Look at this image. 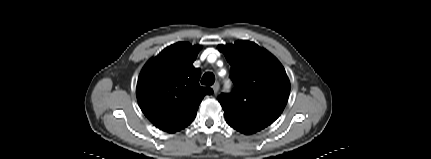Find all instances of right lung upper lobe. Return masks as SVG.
Segmentation results:
<instances>
[{
	"mask_svg": "<svg viewBox=\"0 0 431 159\" xmlns=\"http://www.w3.org/2000/svg\"><path fill=\"white\" fill-rule=\"evenodd\" d=\"M200 46L178 42L143 67L137 100L145 116L159 129L174 133L187 127L210 88L199 85L201 71L193 66Z\"/></svg>",
	"mask_w": 431,
	"mask_h": 159,
	"instance_id": "cb5924a9",
	"label": "right lung upper lobe"
}]
</instances>
